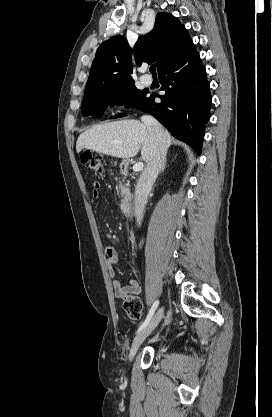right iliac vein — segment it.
<instances>
[{"mask_svg":"<svg viewBox=\"0 0 272 417\" xmlns=\"http://www.w3.org/2000/svg\"><path fill=\"white\" fill-rule=\"evenodd\" d=\"M164 309L161 307L158 309L152 320L149 322V324L140 331L137 336L134 338L132 346L130 348L129 352V359L132 360L133 357L136 355L140 345L143 343V341L151 334V332L155 329V327L158 325L160 320L163 317Z\"/></svg>","mask_w":272,"mask_h":417,"instance_id":"right-iliac-vein-1","label":"right iliac vein"}]
</instances>
